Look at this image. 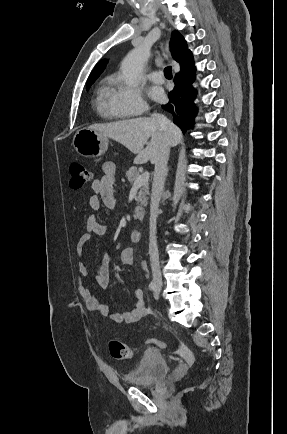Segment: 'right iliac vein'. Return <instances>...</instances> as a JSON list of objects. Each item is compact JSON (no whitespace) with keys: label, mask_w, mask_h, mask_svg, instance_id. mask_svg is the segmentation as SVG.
Instances as JSON below:
<instances>
[{"label":"right iliac vein","mask_w":287,"mask_h":434,"mask_svg":"<svg viewBox=\"0 0 287 434\" xmlns=\"http://www.w3.org/2000/svg\"><path fill=\"white\" fill-rule=\"evenodd\" d=\"M156 285H157V291L160 292V290H161V284L157 283Z\"/></svg>","instance_id":"63e3f726"}]
</instances>
